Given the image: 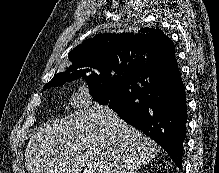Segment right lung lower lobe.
<instances>
[{"instance_id":"98d812e1","label":"right lung lower lobe","mask_w":219,"mask_h":173,"mask_svg":"<svg viewBox=\"0 0 219 173\" xmlns=\"http://www.w3.org/2000/svg\"><path fill=\"white\" fill-rule=\"evenodd\" d=\"M104 105L151 137L180 168L187 106L176 58L170 63L151 59L139 64L120 82Z\"/></svg>"}]
</instances>
